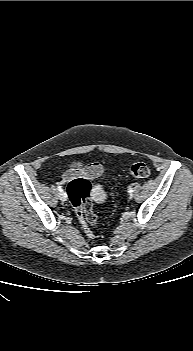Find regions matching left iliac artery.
<instances>
[{
    "label": "left iliac artery",
    "mask_w": 193,
    "mask_h": 351,
    "mask_svg": "<svg viewBox=\"0 0 193 351\" xmlns=\"http://www.w3.org/2000/svg\"><path fill=\"white\" fill-rule=\"evenodd\" d=\"M133 191H134L133 188H132V187H129L128 192H129V193H132Z\"/></svg>",
    "instance_id": "1"
}]
</instances>
